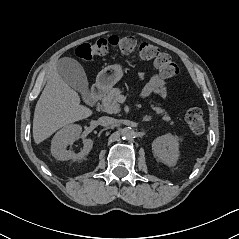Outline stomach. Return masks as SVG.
<instances>
[{
  "label": "stomach",
  "instance_id": "0dacf381",
  "mask_svg": "<svg viewBox=\"0 0 239 239\" xmlns=\"http://www.w3.org/2000/svg\"><path fill=\"white\" fill-rule=\"evenodd\" d=\"M122 77V70L118 65L105 67L97 76L98 87L108 90L112 88Z\"/></svg>",
  "mask_w": 239,
  "mask_h": 239
}]
</instances>
